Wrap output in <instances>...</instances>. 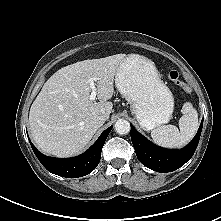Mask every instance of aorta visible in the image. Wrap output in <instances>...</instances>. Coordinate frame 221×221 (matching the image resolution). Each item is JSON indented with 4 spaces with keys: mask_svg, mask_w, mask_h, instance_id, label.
<instances>
[{
    "mask_svg": "<svg viewBox=\"0 0 221 221\" xmlns=\"http://www.w3.org/2000/svg\"><path fill=\"white\" fill-rule=\"evenodd\" d=\"M114 127L115 131L120 135H124L130 132V123L125 119H118Z\"/></svg>",
    "mask_w": 221,
    "mask_h": 221,
    "instance_id": "1",
    "label": "aorta"
}]
</instances>
